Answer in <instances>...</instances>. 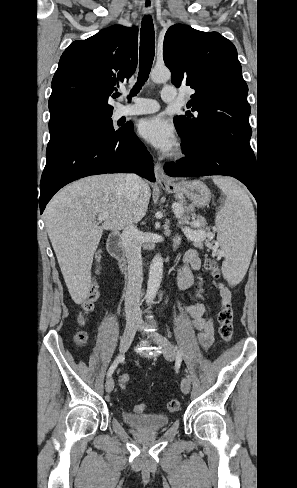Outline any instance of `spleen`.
I'll use <instances>...</instances> for the list:
<instances>
[{
  "label": "spleen",
  "instance_id": "1",
  "mask_svg": "<svg viewBox=\"0 0 297 488\" xmlns=\"http://www.w3.org/2000/svg\"><path fill=\"white\" fill-rule=\"evenodd\" d=\"M214 183L226 196L216 216L217 239L224 252V278L238 284L245 276L254 249L256 220L246 191L233 179L214 177Z\"/></svg>",
  "mask_w": 297,
  "mask_h": 488
}]
</instances>
